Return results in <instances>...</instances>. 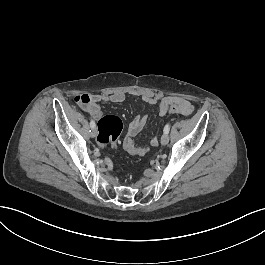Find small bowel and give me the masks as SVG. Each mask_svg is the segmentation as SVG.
<instances>
[{
  "label": "small bowel",
  "instance_id": "obj_1",
  "mask_svg": "<svg viewBox=\"0 0 265 265\" xmlns=\"http://www.w3.org/2000/svg\"><path fill=\"white\" fill-rule=\"evenodd\" d=\"M90 97V95H89ZM91 98V100H90ZM84 107V110L94 119L98 118L101 115L100 103H110V104H120L126 100L125 93L121 91H117L111 94H94L91 95ZM142 101L150 106H156L157 112L160 116L166 115L168 112L166 111L165 105L167 101L174 99L178 101L179 105L183 108V115H190L193 110V104L187 99L174 97V96H163L161 98L155 97L151 94H143ZM81 107V108H82ZM170 114V113H169ZM148 122L147 116L137 117L128 127L126 136L123 141L124 149L130 153L131 155L143 156L149 151V147L138 145L135 142V137L137 134L145 127ZM159 143L157 136H152L150 138V145L157 146Z\"/></svg>",
  "mask_w": 265,
  "mask_h": 265
}]
</instances>
